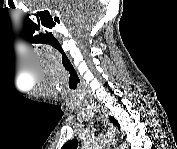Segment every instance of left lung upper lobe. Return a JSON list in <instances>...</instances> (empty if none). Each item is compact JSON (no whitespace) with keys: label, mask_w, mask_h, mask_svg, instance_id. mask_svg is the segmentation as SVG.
Here are the masks:
<instances>
[{"label":"left lung upper lobe","mask_w":177,"mask_h":149,"mask_svg":"<svg viewBox=\"0 0 177 149\" xmlns=\"http://www.w3.org/2000/svg\"><path fill=\"white\" fill-rule=\"evenodd\" d=\"M109 119L112 123H115L118 126V128H120L118 122L113 117H110ZM77 143H78L77 140H70L67 143H65L62 148L63 149H76Z\"/></svg>","instance_id":"5c2ea615"}]
</instances>
